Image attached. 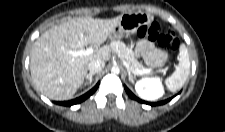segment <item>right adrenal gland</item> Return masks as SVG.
<instances>
[{"mask_svg": "<svg viewBox=\"0 0 225 132\" xmlns=\"http://www.w3.org/2000/svg\"><path fill=\"white\" fill-rule=\"evenodd\" d=\"M95 73H89L85 76L86 82L90 85L92 83V77Z\"/></svg>", "mask_w": 225, "mask_h": 132, "instance_id": "right-adrenal-gland-1", "label": "right adrenal gland"}]
</instances>
